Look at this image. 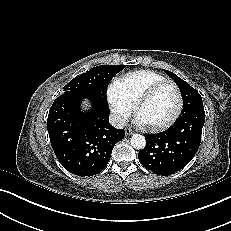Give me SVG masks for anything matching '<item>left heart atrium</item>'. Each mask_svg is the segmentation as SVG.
<instances>
[{
    "label": "left heart atrium",
    "instance_id": "1",
    "mask_svg": "<svg viewBox=\"0 0 231 231\" xmlns=\"http://www.w3.org/2000/svg\"><path fill=\"white\" fill-rule=\"evenodd\" d=\"M134 124L137 128L144 129L148 125V122L143 117L136 116L134 119Z\"/></svg>",
    "mask_w": 231,
    "mask_h": 231
}]
</instances>
